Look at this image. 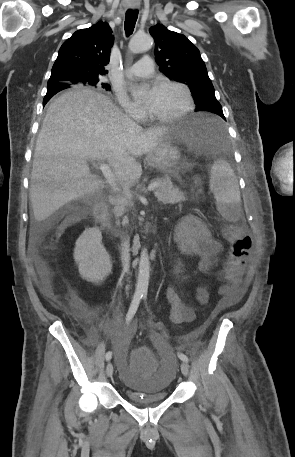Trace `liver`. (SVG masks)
Segmentation results:
<instances>
[{
	"label": "liver",
	"mask_w": 295,
	"mask_h": 457,
	"mask_svg": "<svg viewBox=\"0 0 295 457\" xmlns=\"http://www.w3.org/2000/svg\"><path fill=\"white\" fill-rule=\"evenodd\" d=\"M169 127L144 130L104 94L79 88L50 104L39 132L30 202L36 221L104 187L88 160H106L124 190L142 175L137 157L149 153Z\"/></svg>",
	"instance_id": "1"
}]
</instances>
